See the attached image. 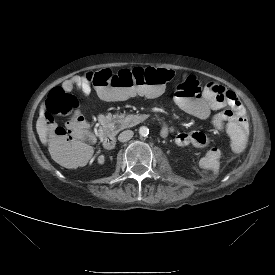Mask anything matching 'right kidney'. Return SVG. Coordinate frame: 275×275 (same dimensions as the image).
I'll return each mask as SVG.
<instances>
[{
	"instance_id": "obj_1",
	"label": "right kidney",
	"mask_w": 275,
	"mask_h": 275,
	"mask_svg": "<svg viewBox=\"0 0 275 275\" xmlns=\"http://www.w3.org/2000/svg\"><path fill=\"white\" fill-rule=\"evenodd\" d=\"M97 161H98V164H99V165H102V166H103V165H106V164H107V161H108V160H107V157H106V156H103V155H102V156H99V157H98V160H97Z\"/></svg>"
}]
</instances>
